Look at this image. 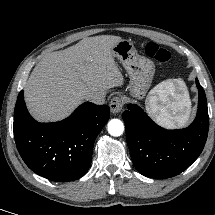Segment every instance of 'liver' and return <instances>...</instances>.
Returning <instances> with one entry per match:
<instances>
[{"instance_id":"liver-1","label":"liver","mask_w":215,"mask_h":215,"mask_svg":"<svg viewBox=\"0 0 215 215\" xmlns=\"http://www.w3.org/2000/svg\"><path fill=\"white\" fill-rule=\"evenodd\" d=\"M122 40L112 35L82 39L77 44L45 55L24 88L31 115L39 121L68 116L90 93H102L123 84L112 48Z\"/></svg>"}]
</instances>
